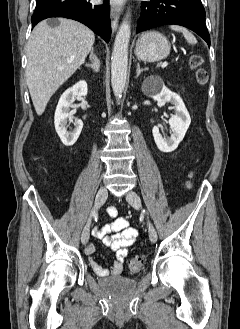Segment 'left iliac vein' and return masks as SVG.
I'll use <instances>...</instances> for the list:
<instances>
[{
	"mask_svg": "<svg viewBox=\"0 0 240 329\" xmlns=\"http://www.w3.org/2000/svg\"><path fill=\"white\" fill-rule=\"evenodd\" d=\"M126 200L127 202L135 209H140L141 208V200L140 197L135 193L134 191H129L126 194ZM148 227H149V238L152 243H155L157 241V232L153 225L148 222Z\"/></svg>",
	"mask_w": 240,
	"mask_h": 329,
	"instance_id": "1",
	"label": "left iliac vein"
}]
</instances>
